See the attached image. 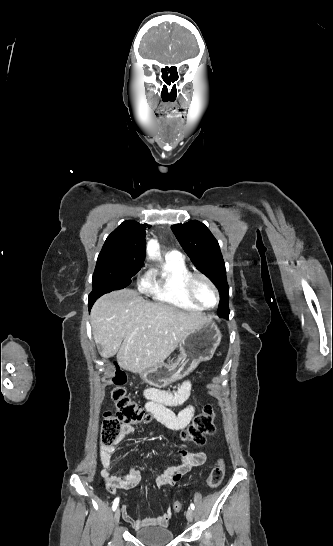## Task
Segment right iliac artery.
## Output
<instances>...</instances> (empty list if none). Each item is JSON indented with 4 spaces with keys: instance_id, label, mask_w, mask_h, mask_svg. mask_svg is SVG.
Instances as JSON below:
<instances>
[{
    "instance_id": "1",
    "label": "right iliac artery",
    "mask_w": 333,
    "mask_h": 546,
    "mask_svg": "<svg viewBox=\"0 0 333 546\" xmlns=\"http://www.w3.org/2000/svg\"><path fill=\"white\" fill-rule=\"evenodd\" d=\"M118 504H119V498H116V499L114 500L113 506H112L113 511L117 508Z\"/></svg>"
}]
</instances>
